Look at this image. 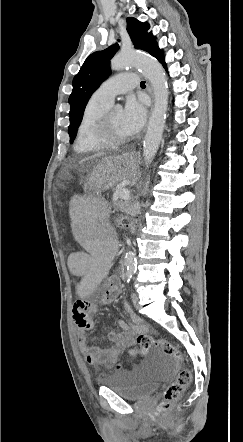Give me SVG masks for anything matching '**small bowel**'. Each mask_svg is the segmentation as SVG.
Listing matches in <instances>:
<instances>
[{"mask_svg":"<svg viewBox=\"0 0 243 442\" xmlns=\"http://www.w3.org/2000/svg\"><path fill=\"white\" fill-rule=\"evenodd\" d=\"M105 287V301L112 302L120 292L119 280L115 276H111L102 283ZM101 286H98V289ZM132 323L124 320H118L117 325L122 329V333L111 331L108 334L110 345L106 348H98L90 344L86 338V331L92 327L91 316L99 310L97 304L91 303L86 299H79L73 307V319L77 326V339L80 351L84 359L94 366H110L115 364L123 352L129 349L131 354L136 353V349H132L135 343V335L144 331L146 326L143 321L136 316L129 304L124 306Z\"/></svg>","mask_w":243,"mask_h":442,"instance_id":"small-bowel-1","label":"small bowel"}]
</instances>
